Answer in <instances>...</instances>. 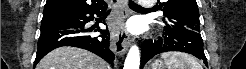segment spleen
Returning a JSON list of instances; mask_svg holds the SVG:
<instances>
[{
	"instance_id": "spleen-1",
	"label": "spleen",
	"mask_w": 246,
	"mask_h": 69,
	"mask_svg": "<svg viewBox=\"0 0 246 69\" xmlns=\"http://www.w3.org/2000/svg\"><path fill=\"white\" fill-rule=\"evenodd\" d=\"M168 69H202L198 61L186 53L166 52L161 55Z\"/></svg>"
}]
</instances>
